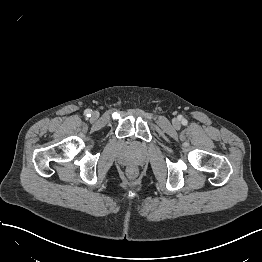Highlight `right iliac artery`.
Listing matches in <instances>:
<instances>
[{
	"label": "right iliac artery",
	"instance_id": "1",
	"mask_svg": "<svg viewBox=\"0 0 262 262\" xmlns=\"http://www.w3.org/2000/svg\"><path fill=\"white\" fill-rule=\"evenodd\" d=\"M85 115H86L87 117H91L92 111H91L90 109H87V110L85 111Z\"/></svg>",
	"mask_w": 262,
	"mask_h": 262
}]
</instances>
